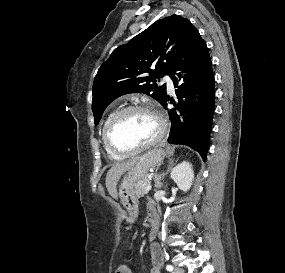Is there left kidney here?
Returning <instances> with one entry per match:
<instances>
[{
  "label": "left kidney",
  "mask_w": 285,
  "mask_h": 273,
  "mask_svg": "<svg viewBox=\"0 0 285 273\" xmlns=\"http://www.w3.org/2000/svg\"><path fill=\"white\" fill-rule=\"evenodd\" d=\"M171 178L182 191H187L191 188L194 172L192 165L189 162H182L175 166L171 171Z\"/></svg>",
  "instance_id": "obj_1"
}]
</instances>
